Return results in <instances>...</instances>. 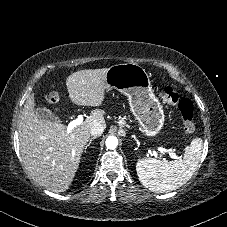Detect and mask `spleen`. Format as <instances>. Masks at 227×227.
I'll return each instance as SVG.
<instances>
[{"instance_id":"3e777b00","label":"spleen","mask_w":227,"mask_h":227,"mask_svg":"<svg viewBox=\"0 0 227 227\" xmlns=\"http://www.w3.org/2000/svg\"><path fill=\"white\" fill-rule=\"evenodd\" d=\"M203 149V140L195 138L186 149L183 158L161 161L154 158L138 160L136 171L143 186L154 193H165L178 189L197 170Z\"/></svg>"}]
</instances>
